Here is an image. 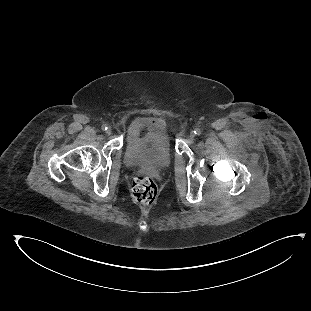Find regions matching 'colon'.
Listing matches in <instances>:
<instances>
[{"mask_svg":"<svg viewBox=\"0 0 311 311\" xmlns=\"http://www.w3.org/2000/svg\"><path fill=\"white\" fill-rule=\"evenodd\" d=\"M157 192V186L150 176L141 175L134 179L132 184L134 202L140 205H150L155 201Z\"/></svg>","mask_w":311,"mask_h":311,"instance_id":"5ec220e1","label":"colon"}]
</instances>
